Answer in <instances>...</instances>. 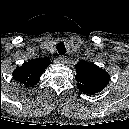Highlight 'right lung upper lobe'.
<instances>
[{
    "label": "right lung upper lobe",
    "instance_id": "1",
    "mask_svg": "<svg viewBox=\"0 0 129 129\" xmlns=\"http://www.w3.org/2000/svg\"><path fill=\"white\" fill-rule=\"evenodd\" d=\"M48 65V61L44 59H33L29 62H25L20 69L22 73L25 75L19 78V81H33L38 79L46 66Z\"/></svg>",
    "mask_w": 129,
    "mask_h": 129
}]
</instances>
